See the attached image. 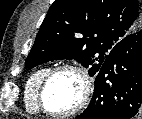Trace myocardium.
Here are the masks:
<instances>
[{"label":"myocardium","mask_w":142,"mask_h":119,"mask_svg":"<svg viewBox=\"0 0 142 119\" xmlns=\"http://www.w3.org/2000/svg\"><path fill=\"white\" fill-rule=\"evenodd\" d=\"M63 71H72L75 74H77V76L81 80V94L77 104L74 107L64 112H55L49 110L46 107L44 102V92L48 83L53 78V76ZM92 92H93V80L88 70L84 68L82 65L76 63H63L51 68L43 77L37 90V105L39 107V110L46 115L52 117H70L79 113L88 105L91 99Z\"/></svg>","instance_id":"obj_1"}]
</instances>
